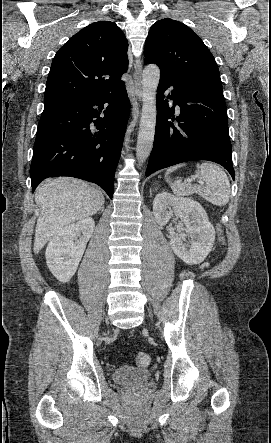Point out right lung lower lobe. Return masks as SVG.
Returning a JSON list of instances; mask_svg holds the SVG:
<instances>
[{"label": "right lung lower lobe", "instance_id": "obj_1", "mask_svg": "<svg viewBox=\"0 0 271 443\" xmlns=\"http://www.w3.org/2000/svg\"><path fill=\"white\" fill-rule=\"evenodd\" d=\"M105 103L109 106L103 111ZM129 113L125 86L107 95L45 105L30 167L32 190L45 178L71 176L98 184L112 199Z\"/></svg>", "mask_w": 271, "mask_h": 443}]
</instances>
